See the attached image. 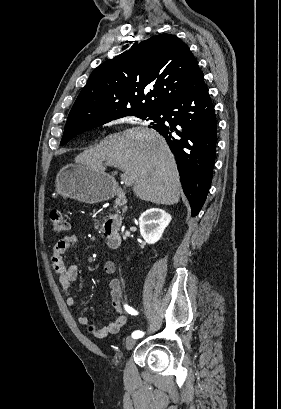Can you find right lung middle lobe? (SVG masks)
<instances>
[{
  "instance_id": "right-lung-middle-lobe-1",
  "label": "right lung middle lobe",
  "mask_w": 281,
  "mask_h": 409,
  "mask_svg": "<svg viewBox=\"0 0 281 409\" xmlns=\"http://www.w3.org/2000/svg\"><path fill=\"white\" fill-rule=\"evenodd\" d=\"M125 116H136V117L142 118L143 120H153V121H156L158 119V117H159L157 112H151V111L124 112V113H120V114H117V115L110 116L108 118H105V119L100 120V121H98L96 123L90 124L88 126L65 128L60 145L66 144L73 137H75L76 135H78V134H80V133H82L84 131L96 128V127L101 126V125H103L105 123H108V122H110L112 120L122 118V117H125Z\"/></svg>"
}]
</instances>
